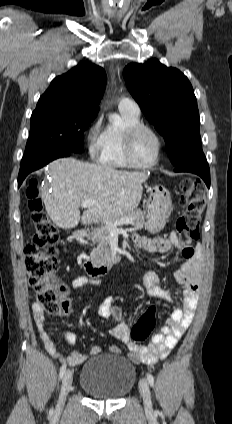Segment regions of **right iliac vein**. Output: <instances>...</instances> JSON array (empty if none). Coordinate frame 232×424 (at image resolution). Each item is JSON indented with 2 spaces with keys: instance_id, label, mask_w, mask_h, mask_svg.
Listing matches in <instances>:
<instances>
[{
  "instance_id": "obj_1",
  "label": "right iliac vein",
  "mask_w": 232,
  "mask_h": 424,
  "mask_svg": "<svg viewBox=\"0 0 232 424\" xmlns=\"http://www.w3.org/2000/svg\"><path fill=\"white\" fill-rule=\"evenodd\" d=\"M72 381H73L72 371L67 370L66 373L64 374V377H63V380H62L61 390H60L59 398H58L57 405H56V411H58V412L62 411V409L64 407L65 399H66L67 394L70 391Z\"/></svg>"
}]
</instances>
